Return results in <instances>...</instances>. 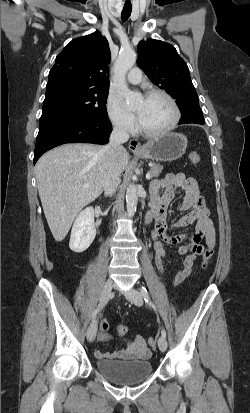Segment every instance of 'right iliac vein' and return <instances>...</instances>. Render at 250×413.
<instances>
[{
    "label": "right iliac vein",
    "instance_id": "63e3f726",
    "mask_svg": "<svg viewBox=\"0 0 250 413\" xmlns=\"http://www.w3.org/2000/svg\"><path fill=\"white\" fill-rule=\"evenodd\" d=\"M112 289H113V283L111 280H107L101 295H100V304L101 306H103L110 298L111 293H112ZM96 331H97V321L94 320L92 321L91 325L89 326L88 330H87V339L89 342H93L95 337H96Z\"/></svg>",
    "mask_w": 250,
    "mask_h": 413
}]
</instances>
